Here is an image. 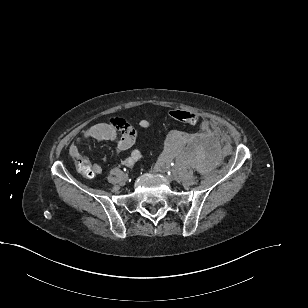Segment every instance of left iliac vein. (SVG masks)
I'll return each instance as SVG.
<instances>
[{"mask_svg": "<svg viewBox=\"0 0 308 308\" xmlns=\"http://www.w3.org/2000/svg\"><path fill=\"white\" fill-rule=\"evenodd\" d=\"M155 170L157 172L163 173L164 177L167 179V181L172 182L174 180V176L173 175H168L167 174V169L165 167H163L162 165H156Z\"/></svg>", "mask_w": 308, "mask_h": 308, "instance_id": "1", "label": "left iliac vein"}]
</instances>
